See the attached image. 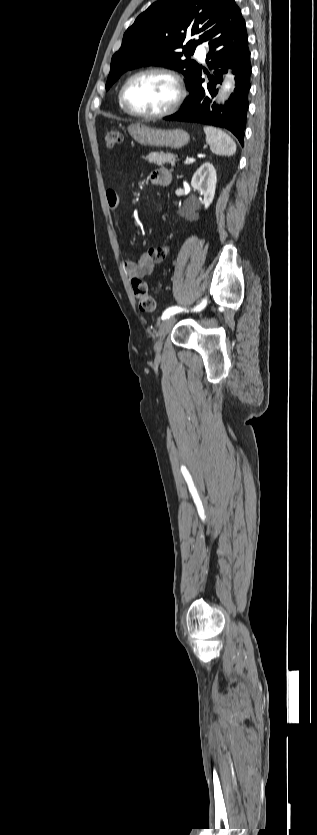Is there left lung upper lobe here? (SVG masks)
Wrapping results in <instances>:
<instances>
[{"label":"left lung upper lobe","instance_id":"1","mask_svg":"<svg viewBox=\"0 0 317 835\" xmlns=\"http://www.w3.org/2000/svg\"><path fill=\"white\" fill-rule=\"evenodd\" d=\"M229 1L159 0L153 3L125 32L121 48L112 57L106 90L124 72L148 65L177 70L188 84L199 67L190 60V55L221 25ZM189 36L193 39L188 40ZM180 48H183L182 52Z\"/></svg>","mask_w":317,"mask_h":835}]
</instances>
